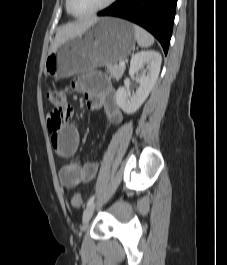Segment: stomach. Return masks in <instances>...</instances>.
I'll list each match as a JSON object with an SVG mask.
<instances>
[{
	"label": "stomach",
	"mask_w": 227,
	"mask_h": 265,
	"mask_svg": "<svg viewBox=\"0 0 227 265\" xmlns=\"http://www.w3.org/2000/svg\"><path fill=\"white\" fill-rule=\"evenodd\" d=\"M136 43L133 25L105 17L96 20L81 35L52 49L44 63L47 75L67 78L96 67L124 60Z\"/></svg>",
	"instance_id": "stomach-1"
}]
</instances>
